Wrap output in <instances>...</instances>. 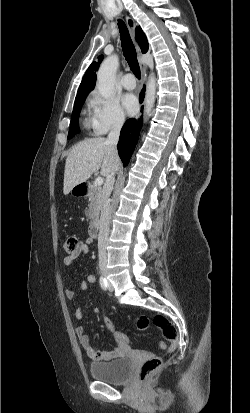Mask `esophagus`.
<instances>
[{
    "instance_id": "34e87169",
    "label": "esophagus",
    "mask_w": 250,
    "mask_h": 413,
    "mask_svg": "<svg viewBox=\"0 0 250 413\" xmlns=\"http://www.w3.org/2000/svg\"><path fill=\"white\" fill-rule=\"evenodd\" d=\"M126 23H127L128 28H129L130 34H131L132 38L135 41L137 54L140 57L142 55V53H141V49H140V47L137 43V40H136V33H135L136 24H135L134 20L129 16H126ZM140 68H141V72H142V81H141V83L143 84V82L146 78V67L142 62H140Z\"/></svg>"
}]
</instances>
